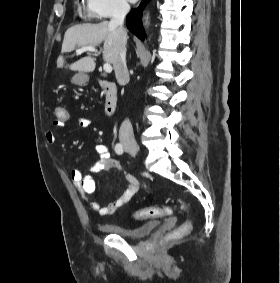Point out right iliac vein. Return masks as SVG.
I'll list each match as a JSON object with an SVG mask.
<instances>
[{
    "label": "right iliac vein",
    "mask_w": 280,
    "mask_h": 283,
    "mask_svg": "<svg viewBox=\"0 0 280 283\" xmlns=\"http://www.w3.org/2000/svg\"><path fill=\"white\" fill-rule=\"evenodd\" d=\"M126 149L129 153L137 154L139 152V148L134 145H127Z\"/></svg>",
    "instance_id": "1"
}]
</instances>
